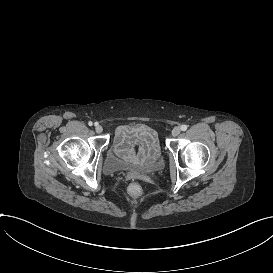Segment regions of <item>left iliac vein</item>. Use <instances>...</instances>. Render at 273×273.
Returning a JSON list of instances; mask_svg holds the SVG:
<instances>
[{"mask_svg":"<svg viewBox=\"0 0 273 273\" xmlns=\"http://www.w3.org/2000/svg\"><path fill=\"white\" fill-rule=\"evenodd\" d=\"M179 134H180V128H179V127L173 128V130H172V135H173L174 137H176V136H178Z\"/></svg>","mask_w":273,"mask_h":273,"instance_id":"left-iliac-vein-1","label":"left iliac vein"}]
</instances>
